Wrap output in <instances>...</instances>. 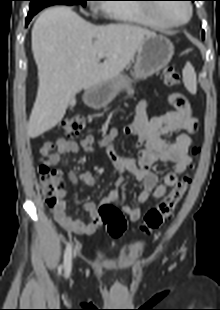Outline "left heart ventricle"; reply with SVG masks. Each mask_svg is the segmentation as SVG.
Wrapping results in <instances>:
<instances>
[{"mask_svg":"<svg viewBox=\"0 0 220 310\" xmlns=\"http://www.w3.org/2000/svg\"><path fill=\"white\" fill-rule=\"evenodd\" d=\"M157 12L160 16L171 21H181L187 17V8L182 3H172L161 5Z\"/></svg>","mask_w":220,"mask_h":310,"instance_id":"1","label":"left heart ventricle"}]
</instances>
